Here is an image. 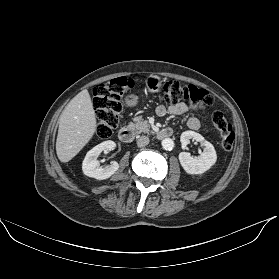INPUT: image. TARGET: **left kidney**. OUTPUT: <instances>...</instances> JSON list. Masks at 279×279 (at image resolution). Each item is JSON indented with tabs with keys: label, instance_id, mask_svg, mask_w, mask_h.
Masks as SVG:
<instances>
[{
	"label": "left kidney",
	"instance_id": "obj_1",
	"mask_svg": "<svg viewBox=\"0 0 279 279\" xmlns=\"http://www.w3.org/2000/svg\"><path fill=\"white\" fill-rule=\"evenodd\" d=\"M190 139L204 146V151L199 156L195 157L191 156L188 152L179 153L180 164L188 174H202L216 163V151L210 142L205 140L201 134L194 131H185L181 134L180 141L183 148L190 143Z\"/></svg>",
	"mask_w": 279,
	"mask_h": 279
}]
</instances>
